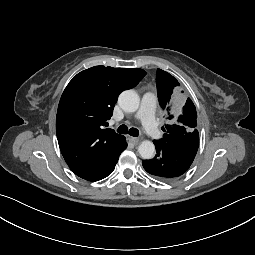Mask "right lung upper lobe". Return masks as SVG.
Instances as JSON below:
<instances>
[{
    "mask_svg": "<svg viewBox=\"0 0 255 255\" xmlns=\"http://www.w3.org/2000/svg\"><path fill=\"white\" fill-rule=\"evenodd\" d=\"M146 72L139 68L95 66L78 73L65 88L57 110L61 153L76 175H83L118 153L125 137L103 129L119 94L135 87Z\"/></svg>",
    "mask_w": 255,
    "mask_h": 255,
    "instance_id": "1",
    "label": "right lung upper lobe"
}]
</instances>
